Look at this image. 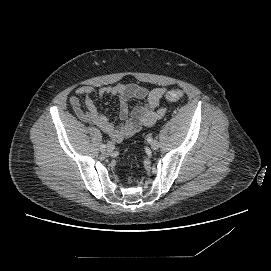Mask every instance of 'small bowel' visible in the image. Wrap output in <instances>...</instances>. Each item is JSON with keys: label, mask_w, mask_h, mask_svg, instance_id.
Listing matches in <instances>:
<instances>
[{"label": "small bowel", "mask_w": 271, "mask_h": 271, "mask_svg": "<svg viewBox=\"0 0 271 271\" xmlns=\"http://www.w3.org/2000/svg\"><path fill=\"white\" fill-rule=\"evenodd\" d=\"M164 87L147 89L136 84H116L103 86L98 95L114 96L119 101L118 121L113 122L106 115L98 111L92 98L94 88L81 86L76 90V95L70 97L69 102L77 117L84 122L96 125L110 138L121 141L137 133L142 127H149L162 119L167 112L165 106H160V101L166 94ZM80 97L84 98L85 109L82 107ZM131 100L142 101L141 104L130 109Z\"/></svg>", "instance_id": "1"}]
</instances>
